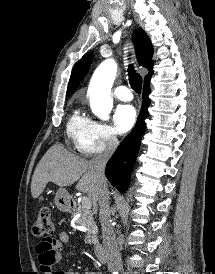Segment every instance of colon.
<instances>
[{
  "label": "colon",
  "instance_id": "obj_1",
  "mask_svg": "<svg viewBox=\"0 0 215 274\" xmlns=\"http://www.w3.org/2000/svg\"><path fill=\"white\" fill-rule=\"evenodd\" d=\"M35 236L42 240H50L54 234V224L51 219V212L48 207H41L36 221L32 227Z\"/></svg>",
  "mask_w": 215,
  "mask_h": 274
}]
</instances>
